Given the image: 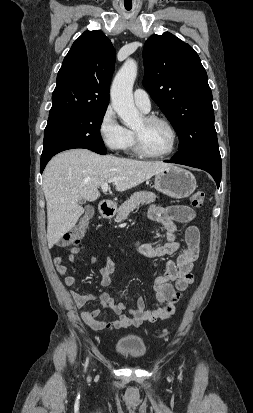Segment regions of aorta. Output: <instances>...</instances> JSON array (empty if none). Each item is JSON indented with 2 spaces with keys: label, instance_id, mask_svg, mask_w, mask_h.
Returning <instances> with one entry per match:
<instances>
[{
  "label": "aorta",
  "instance_id": "1",
  "mask_svg": "<svg viewBox=\"0 0 253 413\" xmlns=\"http://www.w3.org/2000/svg\"><path fill=\"white\" fill-rule=\"evenodd\" d=\"M136 76L137 63L128 59L117 72L110 90L112 106L127 127H133L141 120L132 93Z\"/></svg>",
  "mask_w": 253,
  "mask_h": 413
}]
</instances>
